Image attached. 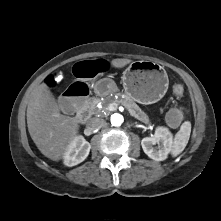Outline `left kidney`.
<instances>
[{
  "label": "left kidney",
  "instance_id": "5707ae66",
  "mask_svg": "<svg viewBox=\"0 0 221 221\" xmlns=\"http://www.w3.org/2000/svg\"><path fill=\"white\" fill-rule=\"evenodd\" d=\"M156 144H159L158 148L153 147ZM172 144V134L165 127H158L153 136L143 138L141 141L145 154L155 161L165 160L172 150Z\"/></svg>",
  "mask_w": 221,
  "mask_h": 221
}]
</instances>
